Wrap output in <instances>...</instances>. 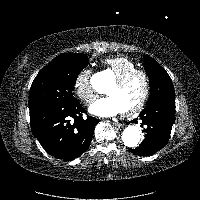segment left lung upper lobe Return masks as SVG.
Masks as SVG:
<instances>
[{
  "label": "left lung upper lobe",
  "instance_id": "5c2ea615",
  "mask_svg": "<svg viewBox=\"0 0 200 200\" xmlns=\"http://www.w3.org/2000/svg\"><path fill=\"white\" fill-rule=\"evenodd\" d=\"M144 62L145 71L150 79L151 88L148 103L158 98L175 99L172 80L165 69L149 55L145 56Z\"/></svg>",
  "mask_w": 200,
  "mask_h": 200
}]
</instances>
